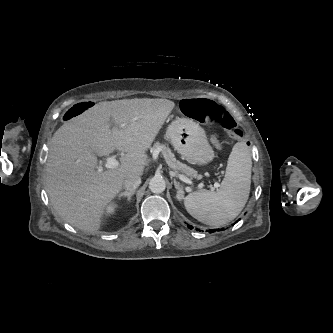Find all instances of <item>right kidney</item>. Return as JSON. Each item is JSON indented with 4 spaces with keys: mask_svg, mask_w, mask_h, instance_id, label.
I'll return each instance as SVG.
<instances>
[{
    "mask_svg": "<svg viewBox=\"0 0 333 333\" xmlns=\"http://www.w3.org/2000/svg\"><path fill=\"white\" fill-rule=\"evenodd\" d=\"M115 207H116V206H114V205H110V206L107 208V212H108V213H113L114 210H115Z\"/></svg>",
    "mask_w": 333,
    "mask_h": 333,
    "instance_id": "obj_1",
    "label": "right kidney"
}]
</instances>
